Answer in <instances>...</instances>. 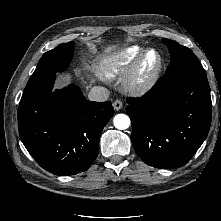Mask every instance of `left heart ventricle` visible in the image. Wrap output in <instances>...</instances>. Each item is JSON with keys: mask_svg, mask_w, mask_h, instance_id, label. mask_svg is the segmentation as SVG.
<instances>
[{"mask_svg": "<svg viewBox=\"0 0 221 221\" xmlns=\"http://www.w3.org/2000/svg\"><path fill=\"white\" fill-rule=\"evenodd\" d=\"M156 64V55L155 53L151 52L147 55L144 64L143 70L145 73L149 72Z\"/></svg>", "mask_w": 221, "mask_h": 221, "instance_id": "left-heart-ventricle-1", "label": "left heart ventricle"}]
</instances>
